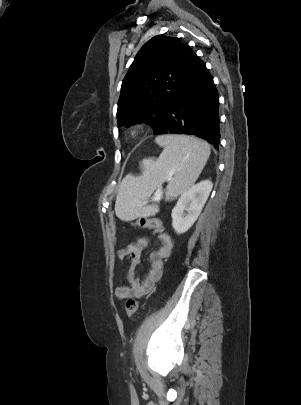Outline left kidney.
<instances>
[{
	"instance_id": "5707ae66",
	"label": "left kidney",
	"mask_w": 301,
	"mask_h": 405,
	"mask_svg": "<svg viewBox=\"0 0 301 405\" xmlns=\"http://www.w3.org/2000/svg\"><path fill=\"white\" fill-rule=\"evenodd\" d=\"M212 187L211 181L204 180L191 186L180 196L171 213L172 227L177 234L185 233L195 223Z\"/></svg>"
}]
</instances>
